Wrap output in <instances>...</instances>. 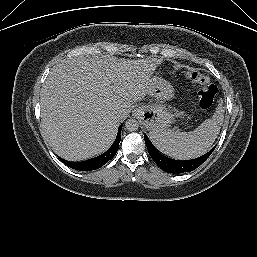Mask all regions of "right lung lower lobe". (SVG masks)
<instances>
[{
	"instance_id": "98d812e1",
	"label": "right lung lower lobe",
	"mask_w": 257,
	"mask_h": 257,
	"mask_svg": "<svg viewBox=\"0 0 257 257\" xmlns=\"http://www.w3.org/2000/svg\"><path fill=\"white\" fill-rule=\"evenodd\" d=\"M121 129H122L121 126H119L118 134H117V137H116L114 143L103 154H101V155H99L95 158H92V159H89V160H86V161H82V162H77V163L68 162V161H65L61 158H60V160L64 164H66L67 166H69L73 169H76V170H80V171L95 170V169H98V168L102 167L109 160H111L115 156V154L117 153L118 148H119V142L121 140V135H120Z\"/></svg>"
}]
</instances>
